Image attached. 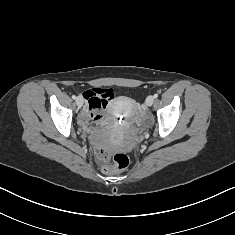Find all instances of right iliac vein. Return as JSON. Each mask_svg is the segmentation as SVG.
Here are the masks:
<instances>
[{
	"instance_id": "obj_1",
	"label": "right iliac vein",
	"mask_w": 235,
	"mask_h": 235,
	"mask_svg": "<svg viewBox=\"0 0 235 235\" xmlns=\"http://www.w3.org/2000/svg\"><path fill=\"white\" fill-rule=\"evenodd\" d=\"M76 104L78 107H82L83 105V99L81 97L76 98Z\"/></svg>"
}]
</instances>
